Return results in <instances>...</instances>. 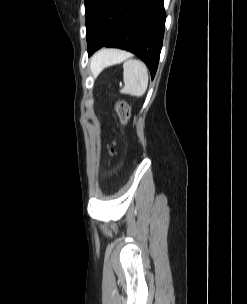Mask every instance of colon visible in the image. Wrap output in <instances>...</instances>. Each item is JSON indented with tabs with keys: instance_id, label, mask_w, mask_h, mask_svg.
<instances>
[{
	"instance_id": "5ec220e1",
	"label": "colon",
	"mask_w": 247,
	"mask_h": 304,
	"mask_svg": "<svg viewBox=\"0 0 247 304\" xmlns=\"http://www.w3.org/2000/svg\"><path fill=\"white\" fill-rule=\"evenodd\" d=\"M117 110L123 119H126L130 113V106L126 102H119Z\"/></svg>"
}]
</instances>
